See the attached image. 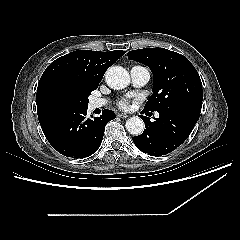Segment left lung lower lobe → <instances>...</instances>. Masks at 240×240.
I'll list each match as a JSON object with an SVG mask.
<instances>
[{
	"label": "left lung lower lobe",
	"mask_w": 240,
	"mask_h": 240,
	"mask_svg": "<svg viewBox=\"0 0 240 240\" xmlns=\"http://www.w3.org/2000/svg\"><path fill=\"white\" fill-rule=\"evenodd\" d=\"M201 108L202 100H191L160 111L154 122L142 116L146 129L133 137L134 144L151 156L170 153L188 138L199 119Z\"/></svg>",
	"instance_id": "0a47b994"
}]
</instances>
